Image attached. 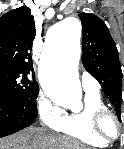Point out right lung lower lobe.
I'll return each instance as SVG.
<instances>
[{"instance_id": "right-lung-lower-lobe-1", "label": "right lung lower lobe", "mask_w": 124, "mask_h": 149, "mask_svg": "<svg viewBox=\"0 0 124 149\" xmlns=\"http://www.w3.org/2000/svg\"><path fill=\"white\" fill-rule=\"evenodd\" d=\"M37 113L22 99L0 92V138L30 126Z\"/></svg>"}]
</instances>
